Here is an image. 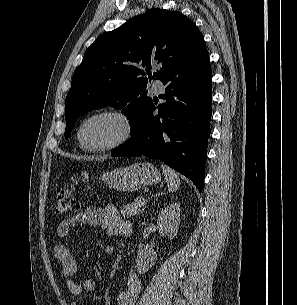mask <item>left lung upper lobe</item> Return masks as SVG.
Here are the masks:
<instances>
[{
    "mask_svg": "<svg viewBox=\"0 0 297 305\" xmlns=\"http://www.w3.org/2000/svg\"><path fill=\"white\" fill-rule=\"evenodd\" d=\"M158 69L150 73L152 65ZM210 66L204 37L178 11L153 8L100 36L86 50L66 97L67 139L76 120L107 106L121 109L135 124L151 103L145 88L154 78L201 72ZM143 69L147 71V77Z\"/></svg>",
    "mask_w": 297,
    "mask_h": 305,
    "instance_id": "obj_1",
    "label": "left lung upper lobe"
}]
</instances>
